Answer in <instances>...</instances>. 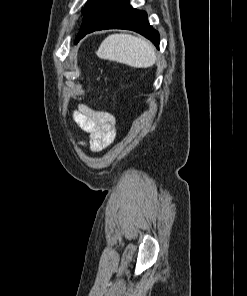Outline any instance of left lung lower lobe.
I'll return each mask as SVG.
<instances>
[{"instance_id":"left-lung-lower-lobe-1","label":"left lung lower lobe","mask_w":247,"mask_h":296,"mask_svg":"<svg viewBox=\"0 0 247 296\" xmlns=\"http://www.w3.org/2000/svg\"><path fill=\"white\" fill-rule=\"evenodd\" d=\"M114 28L138 32L159 48V33L150 26L146 12L132 8L129 0H99L84 14L75 43L93 31Z\"/></svg>"}]
</instances>
